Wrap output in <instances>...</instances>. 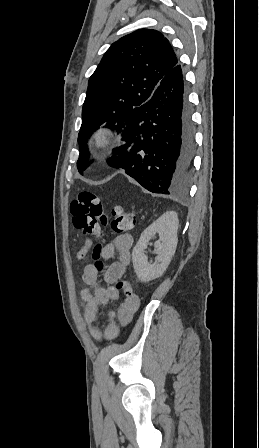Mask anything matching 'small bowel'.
Segmentation results:
<instances>
[{"instance_id": "c3829d8e", "label": "small bowel", "mask_w": 259, "mask_h": 448, "mask_svg": "<svg viewBox=\"0 0 259 448\" xmlns=\"http://www.w3.org/2000/svg\"><path fill=\"white\" fill-rule=\"evenodd\" d=\"M132 245L133 238L130 234H120L103 247L101 253L103 259H111L117 254V261L105 270L103 282L99 280L100 271L93 264L86 265L83 270V281L87 285V288L81 292L83 313L89 325L90 334L97 342L117 338L120 328L130 323L138 308L139 300L137 296H134L119 304L115 310L108 311L109 322L103 332L93 325L99 311L107 308L112 301L119 299V290L115 283L124 275L130 264Z\"/></svg>"}]
</instances>
